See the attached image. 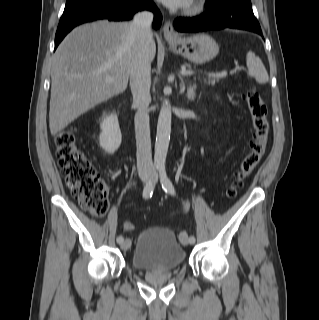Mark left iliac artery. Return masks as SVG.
I'll return each instance as SVG.
<instances>
[{
    "mask_svg": "<svg viewBox=\"0 0 319 320\" xmlns=\"http://www.w3.org/2000/svg\"><path fill=\"white\" fill-rule=\"evenodd\" d=\"M159 174H160V182L162 184V188L164 189V191L171 194V195H175L174 186H173L172 182L170 181V179L167 177L165 166L159 167ZM185 208L186 209L189 208L188 204H185ZM181 234H182V232L180 233V235ZM188 241H189V243L194 244L195 238L193 236H190L188 238Z\"/></svg>",
    "mask_w": 319,
    "mask_h": 320,
    "instance_id": "left-iliac-artery-1",
    "label": "left iliac artery"
}]
</instances>
